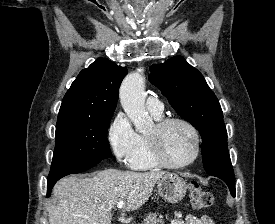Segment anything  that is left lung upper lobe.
Here are the masks:
<instances>
[{
	"label": "left lung upper lobe",
	"mask_w": 275,
	"mask_h": 224,
	"mask_svg": "<svg viewBox=\"0 0 275 224\" xmlns=\"http://www.w3.org/2000/svg\"><path fill=\"white\" fill-rule=\"evenodd\" d=\"M150 71V82L167 97L177 114L200 132L206 172L234 179L223 112L202 74L181 56L154 64Z\"/></svg>",
	"instance_id": "left-lung-upper-lobe-1"
}]
</instances>
